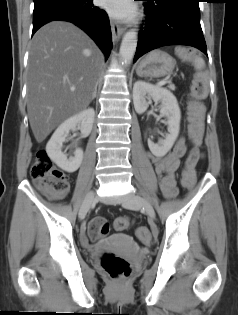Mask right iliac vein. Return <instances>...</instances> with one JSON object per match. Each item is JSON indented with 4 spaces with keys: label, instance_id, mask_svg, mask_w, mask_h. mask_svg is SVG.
<instances>
[{
    "label": "right iliac vein",
    "instance_id": "obj_1",
    "mask_svg": "<svg viewBox=\"0 0 238 315\" xmlns=\"http://www.w3.org/2000/svg\"><path fill=\"white\" fill-rule=\"evenodd\" d=\"M94 201H95V194L93 191H90L85 196V199H84V201L81 205V208L79 210V218L80 219H83L86 216L87 212L89 211V209H90V207Z\"/></svg>",
    "mask_w": 238,
    "mask_h": 315
}]
</instances>
